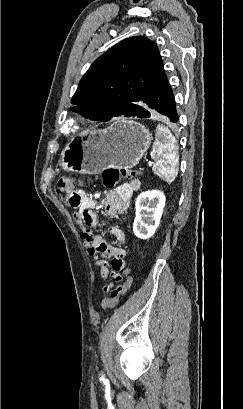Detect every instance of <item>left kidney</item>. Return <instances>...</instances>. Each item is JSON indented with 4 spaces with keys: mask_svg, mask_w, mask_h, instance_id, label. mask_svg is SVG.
I'll use <instances>...</instances> for the list:
<instances>
[{
    "mask_svg": "<svg viewBox=\"0 0 243 409\" xmlns=\"http://www.w3.org/2000/svg\"><path fill=\"white\" fill-rule=\"evenodd\" d=\"M166 198L160 191L142 192L136 199L133 232L140 239L152 237L158 228Z\"/></svg>",
    "mask_w": 243,
    "mask_h": 409,
    "instance_id": "1",
    "label": "left kidney"
}]
</instances>
